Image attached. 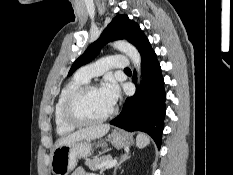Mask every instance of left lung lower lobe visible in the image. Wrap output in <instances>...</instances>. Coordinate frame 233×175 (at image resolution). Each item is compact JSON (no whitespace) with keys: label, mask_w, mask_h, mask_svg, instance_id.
<instances>
[{"label":"left lung lower lobe","mask_w":233,"mask_h":175,"mask_svg":"<svg viewBox=\"0 0 233 175\" xmlns=\"http://www.w3.org/2000/svg\"><path fill=\"white\" fill-rule=\"evenodd\" d=\"M140 54L143 81L138 94L126 99L121 113L110 124L130 132L143 131L160 148L166 113L164 79L151 45H147ZM133 81L135 82V77Z\"/></svg>","instance_id":"0a47b994"}]
</instances>
